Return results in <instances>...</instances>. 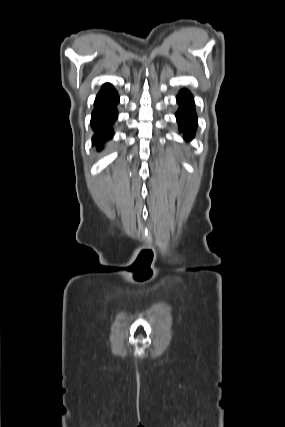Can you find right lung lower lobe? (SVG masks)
I'll return each mask as SVG.
<instances>
[{
	"mask_svg": "<svg viewBox=\"0 0 285 427\" xmlns=\"http://www.w3.org/2000/svg\"><path fill=\"white\" fill-rule=\"evenodd\" d=\"M118 102L119 96L110 84H106L95 99L91 126L95 131L92 143L98 150L103 147L104 142L113 137L111 126L118 115L116 109Z\"/></svg>",
	"mask_w": 285,
	"mask_h": 427,
	"instance_id": "1",
	"label": "right lung lower lobe"
}]
</instances>
